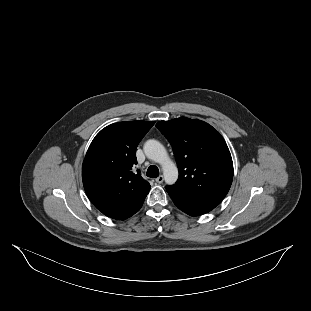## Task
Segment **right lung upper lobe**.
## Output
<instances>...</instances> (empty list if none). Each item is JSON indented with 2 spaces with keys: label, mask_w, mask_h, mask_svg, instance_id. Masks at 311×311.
<instances>
[{
  "label": "right lung upper lobe",
  "mask_w": 311,
  "mask_h": 311,
  "mask_svg": "<svg viewBox=\"0 0 311 311\" xmlns=\"http://www.w3.org/2000/svg\"><path fill=\"white\" fill-rule=\"evenodd\" d=\"M153 125L152 121L114 123L91 142L82 180L88 198L104 215L123 220L141 208L150 184L133 168L136 148Z\"/></svg>",
  "instance_id": "right-lung-upper-lobe-1"
}]
</instances>
